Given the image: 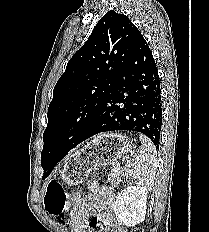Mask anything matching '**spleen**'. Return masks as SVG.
Masks as SVG:
<instances>
[{"label":"spleen","mask_w":209,"mask_h":232,"mask_svg":"<svg viewBox=\"0 0 209 232\" xmlns=\"http://www.w3.org/2000/svg\"><path fill=\"white\" fill-rule=\"evenodd\" d=\"M141 147L135 158L126 164V173L137 184L151 189L156 176L157 156L153 143L144 135H139Z\"/></svg>","instance_id":"3e777b00"}]
</instances>
